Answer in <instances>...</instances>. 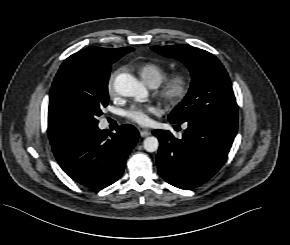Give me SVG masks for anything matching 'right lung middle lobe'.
<instances>
[{"mask_svg": "<svg viewBox=\"0 0 290 245\" xmlns=\"http://www.w3.org/2000/svg\"><path fill=\"white\" fill-rule=\"evenodd\" d=\"M119 58L92 60L73 54L60 66L50 99L80 129L98 125L97 118L109 102L107 86L111 64Z\"/></svg>", "mask_w": 290, "mask_h": 245, "instance_id": "dd1d6c3e", "label": "right lung middle lobe"}]
</instances>
